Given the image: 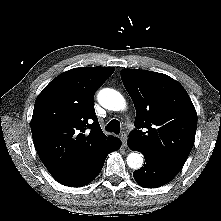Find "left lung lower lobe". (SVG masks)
<instances>
[{
	"instance_id": "1",
	"label": "left lung lower lobe",
	"mask_w": 221,
	"mask_h": 221,
	"mask_svg": "<svg viewBox=\"0 0 221 221\" xmlns=\"http://www.w3.org/2000/svg\"><path fill=\"white\" fill-rule=\"evenodd\" d=\"M128 146L133 151L141 152L145 157L144 166L134 171L136 182L144 188H157L170 182L179 172V168L164 163L154 155L142 151L133 143L128 142Z\"/></svg>"
}]
</instances>
